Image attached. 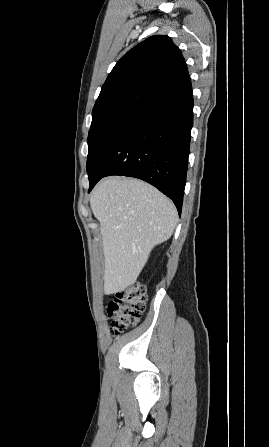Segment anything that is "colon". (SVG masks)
<instances>
[{"instance_id": "5ec220e1", "label": "colon", "mask_w": 269, "mask_h": 447, "mask_svg": "<svg viewBox=\"0 0 269 447\" xmlns=\"http://www.w3.org/2000/svg\"><path fill=\"white\" fill-rule=\"evenodd\" d=\"M146 289L140 283L118 290L109 303L107 314L111 318V332L116 335L136 325L145 309Z\"/></svg>"}]
</instances>
